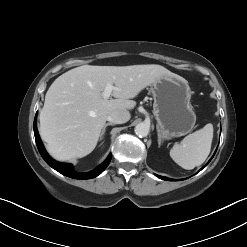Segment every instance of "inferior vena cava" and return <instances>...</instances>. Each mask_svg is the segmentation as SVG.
<instances>
[{
	"mask_svg": "<svg viewBox=\"0 0 247 247\" xmlns=\"http://www.w3.org/2000/svg\"><path fill=\"white\" fill-rule=\"evenodd\" d=\"M130 119V113L127 110H113L108 115L107 120L114 124H123Z\"/></svg>",
	"mask_w": 247,
	"mask_h": 247,
	"instance_id": "inferior-vena-cava-1",
	"label": "inferior vena cava"
}]
</instances>
